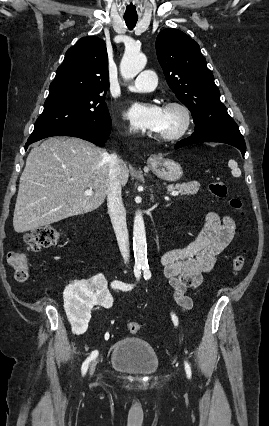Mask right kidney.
I'll return each mask as SVG.
<instances>
[{
	"label": "right kidney",
	"mask_w": 269,
	"mask_h": 426,
	"mask_svg": "<svg viewBox=\"0 0 269 426\" xmlns=\"http://www.w3.org/2000/svg\"><path fill=\"white\" fill-rule=\"evenodd\" d=\"M104 280L105 275L97 273L88 280L70 281L64 293V308L69 321L83 330L88 327L92 307L97 311H110L112 308L113 296Z\"/></svg>",
	"instance_id": "right-kidney-1"
}]
</instances>
